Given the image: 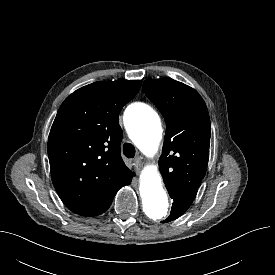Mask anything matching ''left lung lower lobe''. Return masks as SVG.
Instances as JSON below:
<instances>
[{
    "instance_id": "1",
    "label": "left lung lower lobe",
    "mask_w": 275,
    "mask_h": 275,
    "mask_svg": "<svg viewBox=\"0 0 275 275\" xmlns=\"http://www.w3.org/2000/svg\"><path fill=\"white\" fill-rule=\"evenodd\" d=\"M173 199L170 216L163 222H169L180 217L192 204L197 192L183 189H167Z\"/></svg>"
}]
</instances>
